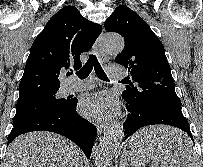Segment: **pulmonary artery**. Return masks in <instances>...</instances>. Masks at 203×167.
Listing matches in <instances>:
<instances>
[{
	"mask_svg": "<svg viewBox=\"0 0 203 167\" xmlns=\"http://www.w3.org/2000/svg\"><path fill=\"white\" fill-rule=\"evenodd\" d=\"M108 73L113 78H121L127 75V69L121 65H111L108 67ZM91 87L92 83L89 81H79L76 79H72L67 83L65 89L67 92H75Z\"/></svg>",
	"mask_w": 203,
	"mask_h": 167,
	"instance_id": "obj_1",
	"label": "pulmonary artery"
}]
</instances>
